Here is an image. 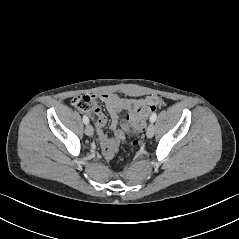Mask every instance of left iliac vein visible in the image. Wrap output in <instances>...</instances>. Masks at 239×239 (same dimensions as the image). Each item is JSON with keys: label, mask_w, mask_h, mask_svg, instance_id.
<instances>
[{"label": "left iliac vein", "mask_w": 239, "mask_h": 239, "mask_svg": "<svg viewBox=\"0 0 239 239\" xmlns=\"http://www.w3.org/2000/svg\"><path fill=\"white\" fill-rule=\"evenodd\" d=\"M155 134V126L153 123H150L147 130H146V136L148 138H152Z\"/></svg>", "instance_id": "obj_1"}]
</instances>
